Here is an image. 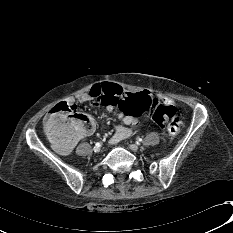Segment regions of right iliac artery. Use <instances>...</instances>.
<instances>
[{
	"label": "right iliac artery",
	"instance_id": "right-iliac-artery-1",
	"mask_svg": "<svg viewBox=\"0 0 233 233\" xmlns=\"http://www.w3.org/2000/svg\"><path fill=\"white\" fill-rule=\"evenodd\" d=\"M95 146L96 147H100L101 145H100V143H96Z\"/></svg>",
	"mask_w": 233,
	"mask_h": 233
}]
</instances>
